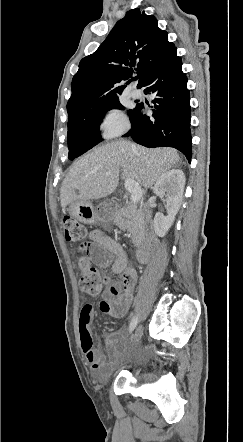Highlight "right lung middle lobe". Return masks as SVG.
Wrapping results in <instances>:
<instances>
[{
    "instance_id": "obj_1",
    "label": "right lung middle lobe",
    "mask_w": 243,
    "mask_h": 442,
    "mask_svg": "<svg viewBox=\"0 0 243 442\" xmlns=\"http://www.w3.org/2000/svg\"><path fill=\"white\" fill-rule=\"evenodd\" d=\"M118 96L112 100L72 119H68L67 143L69 149L68 158L73 160L102 141L99 127L101 121L108 110L123 109ZM135 109L129 111L130 118Z\"/></svg>"
}]
</instances>
